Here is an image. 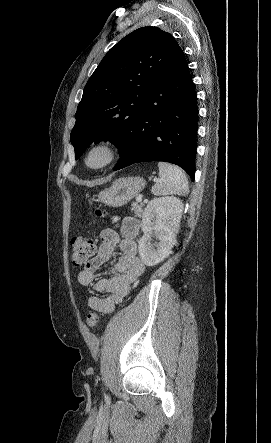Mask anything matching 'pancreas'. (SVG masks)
Returning a JSON list of instances; mask_svg holds the SVG:
<instances>
[{"label":"pancreas","instance_id":"obj_1","mask_svg":"<svg viewBox=\"0 0 271 443\" xmlns=\"http://www.w3.org/2000/svg\"><path fill=\"white\" fill-rule=\"evenodd\" d=\"M132 210H133L134 214H136V216H138V218H141V216L143 214V210H142V206H139L138 202H133Z\"/></svg>","mask_w":271,"mask_h":443}]
</instances>
